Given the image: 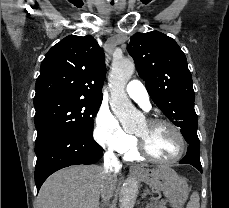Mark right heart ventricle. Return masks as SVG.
Wrapping results in <instances>:
<instances>
[{"instance_id": "e07e8e85", "label": "right heart ventricle", "mask_w": 229, "mask_h": 208, "mask_svg": "<svg viewBox=\"0 0 229 208\" xmlns=\"http://www.w3.org/2000/svg\"><path fill=\"white\" fill-rule=\"evenodd\" d=\"M128 155L131 157V156H134V155H135V153L133 152V153H130V154H128Z\"/></svg>"}]
</instances>
